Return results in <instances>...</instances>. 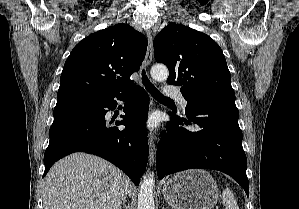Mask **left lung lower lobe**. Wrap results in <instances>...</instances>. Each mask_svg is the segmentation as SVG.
<instances>
[{
    "label": "left lung lower lobe",
    "instance_id": "1",
    "mask_svg": "<svg viewBox=\"0 0 299 209\" xmlns=\"http://www.w3.org/2000/svg\"><path fill=\"white\" fill-rule=\"evenodd\" d=\"M186 116L188 120L171 113L172 120L161 133L156 154L158 178L190 168L214 169L230 175L248 196L247 159L235 101L197 100L188 106ZM179 124L195 125V129Z\"/></svg>",
    "mask_w": 299,
    "mask_h": 209
}]
</instances>
